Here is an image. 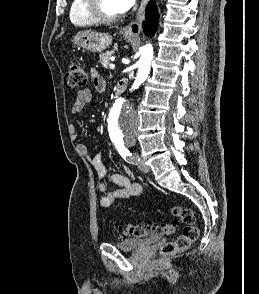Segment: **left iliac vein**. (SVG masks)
Listing matches in <instances>:
<instances>
[{
  "mask_svg": "<svg viewBox=\"0 0 259 294\" xmlns=\"http://www.w3.org/2000/svg\"><path fill=\"white\" fill-rule=\"evenodd\" d=\"M139 161H137V166L139 168L140 171L144 172V173H148L150 171V168L144 163V161L139 158Z\"/></svg>",
  "mask_w": 259,
  "mask_h": 294,
  "instance_id": "4c4485c4",
  "label": "left iliac vein"
}]
</instances>
